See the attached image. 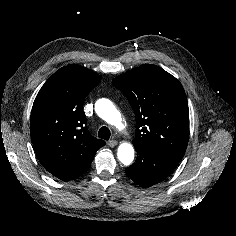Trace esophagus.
<instances>
[{
    "label": "esophagus",
    "mask_w": 236,
    "mask_h": 236,
    "mask_svg": "<svg viewBox=\"0 0 236 236\" xmlns=\"http://www.w3.org/2000/svg\"><path fill=\"white\" fill-rule=\"evenodd\" d=\"M117 144H118V142H117L116 140H110V141L108 142V145H109V147H111V148H114L115 146H117Z\"/></svg>",
    "instance_id": "34e87169"
}]
</instances>
